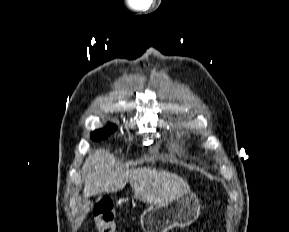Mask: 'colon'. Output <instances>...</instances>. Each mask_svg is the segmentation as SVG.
<instances>
[{
	"mask_svg": "<svg viewBox=\"0 0 289 232\" xmlns=\"http://www.w3.org/2000/svg\"><path fill=\"white\" fill-rule=\"evenodd\" d=\"M94 216L97 232H117L114 204L110 197L102 195L98 198L94 207Z\"/></svg>",
	"mask_w": 289,
	"mask_h": 232,
	"instance_id": "1",
	"label": "colon"
}]
</instances>
